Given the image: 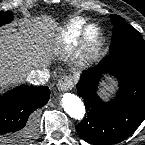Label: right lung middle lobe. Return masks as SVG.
<instances>
[{"instance_id":"obj_1","label":"right lung middle lobe","mask_w":145,"mask_h":145,"mask_svg":"<svg viewBox=\"0 0 145 145\" xmlns=\"http://www.w3.org/2000/svg\"><path fill=\"white\" fill-rule=\"evenodd\" d=\"M13 18V13L11 11H1L0 12V26L9 23Z\"/></svg>"}]
</instances>
